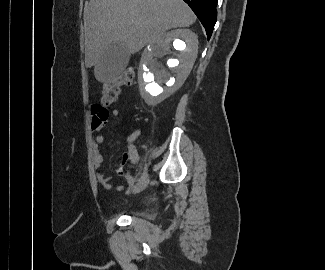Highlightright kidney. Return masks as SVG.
Returning a JSON list of instances; mask_svg holds the SVG:
<instances>
[{"label": "right kidney", "instance_id": "obj_1", "mask_svg": "<svg viewBox=\"0 0 325 270\" xmlns=\"http://www.w3.org/2000/svg\"><path fill=\"white\" fill-rule=\"evenodd\" d=\"M172 42L175 51H171ZM197 54V35L189 29L170 31L149 45L142 54L138 71L139 90L144 101L154 106L178 90L190 74Z\"/></svg>", "mask_w": 325, "mask_h": 270}]
</instances>
